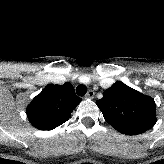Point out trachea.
I'll return each mask as SVG.
<instances>
[{
    "label": "trachea",
    "mask_w": 164,
    "mask_h": 164,
    "mask_svg": "<svg viewBox=\"0 0 164 164\" xmlns=\"http://www.w3.org/2000/svg\"><path fill=\"white\" fill-rule=\"evenodd\" d=\"M86 92H87V87L85 85L81 84L76 87V93L79 96H84Z\"/></svg>",
    "instance_id": "trachea-1"
}]
</instances>
